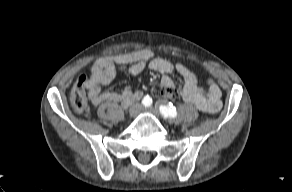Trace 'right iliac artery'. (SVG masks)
<instances>
[{"label":"right iliac artery","mask_w":292,"mask_h":192,"mask_svg":"<svg viewBox=\"0 0 292 192\" xmlns=\"http://www.w3.org/2000/svg\"><path fill=\"white\" fill-rule=\"evenodd\" d=\"M142 104L145 106V107H149L151 106L152 104V98L150 96H145L143 99H142Z\"/></svg>","instance_id":"82829eb1"}]
</instances>
